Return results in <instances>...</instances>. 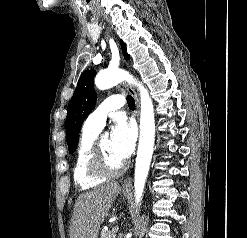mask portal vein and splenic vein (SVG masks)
<instances>
[{"label":"portal vein and splenic vein","mask_w":247,"mask_h":238,"mask_svg":"<svg viewBox=\"0 0 247 238\" xmlns=\"http://www.w3.org/2000/svg\"><path fill=\"white\" fill-rule=\"evenodd\" d=\"M118 230H119V227H118V226H114V227L112 228V232H113V233H117Z\"/></svg>","instance_id":"18ae733b"}]
</instances>
